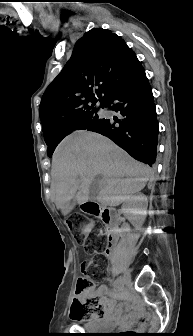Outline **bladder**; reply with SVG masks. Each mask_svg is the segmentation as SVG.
I'll list each match as a JSON object with an SVG mask.
<instances>
[{
    "mask_svg": "<svg viewBox=\"0 0 193 336\" xmlns=\"http://www.w3.org/2000/svg\"><path fill=\"white\" fill-rule=\"evenodd\" d=\"M102 322L97 320L95 322H92L88 327L87 329L88 330H91V331H96V330H101L102 328L100 326H102Z\"/></svg>",
    "mask_w": 193,
    "mask_h": 336,
    "instance_id": "obj_1",
    "label": "bladder"
}]
</instances>
